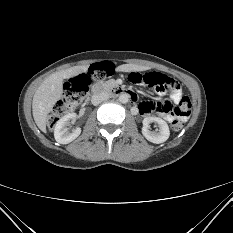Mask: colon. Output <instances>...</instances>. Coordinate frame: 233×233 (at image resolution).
<instances>
[{
  "instance_id": "colon-1",
  "label": "colon",
  "mask_w": 233,
  "mask_h": 233,
  "mask_svg": "<svg viewBox=\"0 0 233 233\" xmlns=\"http://www.w3.org/2000/svg\"><path fill=\"white\" fill-rule=\"evenodd\" d=\"M113 67L110 63L96 64L90 69L74 77L66 83L65 91L60 100L55 104L51 114L48 117V126L52 128L57 121L75 106L83 102L88 96L92 80H102L106 76L111 75ZM128 80L135 84H142L159 91L169 90L175 86L172 79L160 73H138L132 72L127 76ZM154 107L159 108L160 104L155 103ZM177 117L171 121V127L175 131H179L183 127V118H187L191 111V102L187 97H183L174 108Z\"/></svg>"
}]
</instances>
